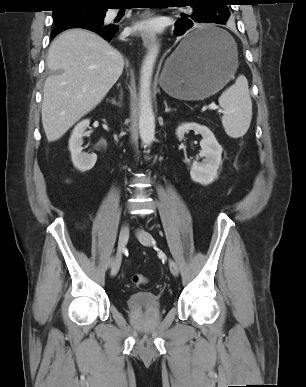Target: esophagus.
I'll use <instances>...</instances> for the list:
<instances>
[{
    "label": "esophagus",
    "instance_id": "obj_1",
    "mask_svg": "<svg viewBox=\"0 0 306 387\" xmlns=\"http://www.w3.org/2000/svg\"><path fill=\"white\" fill-rule=\"evenodd\" d=\"M141 37L145 48H150L156 40L155 33L151 31L142 32Z\"/></svg>",
    "mask_w": 306,
    "mask_h": 387
}]
</instances>
